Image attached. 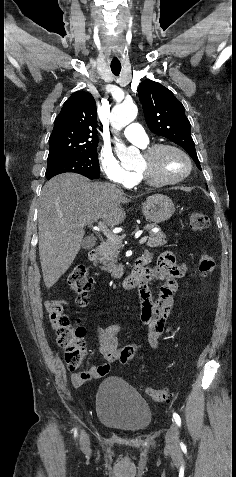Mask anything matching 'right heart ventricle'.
Returning a JSON list of instances; mask_svg holds the SVG:
<instances>
[{"label":"right heart ventricle","instance_id":"e07e8e85","mask_svg":"<svg viewBox=\"0 0 236 477\" xmlns=\"http://www.w3.org/2000/svg\"><path fill=\"white\" fill-rule=\"evenodd\" d=\"M137 182H139V177L136 174H134V183H137Z\"/></svg>","mask_w":236,"mask_h":477}]
</instances>
